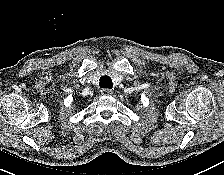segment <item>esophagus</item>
<instances>
[{"label": "esophagus", "mask_w": 224, "mask_h": 175, "mask_svg": "<svg viewBox=\"0 0 224 175\" xmlns=\"http://www.w3.org/2000/svg\"><path fill=\"white\" fill-rule=\"evenodd\" d=\"M101 93L102 95L107 96L113 94V90L105 88L101 90Z\"/></svg>", "instance_id": "esophagus-1"}]
</instances>
